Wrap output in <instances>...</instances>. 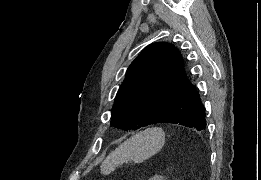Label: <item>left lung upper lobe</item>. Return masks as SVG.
Here are the masks:
<instances>
[{
	"instance_id": "1",
	"label": "left lung upper lobe",
	"mask_w": 261,
	"mask_h": 180,
	"mask_svg": "<svg viewBox=\"0 0 261 180\" xmlns=\"http://www.w3.org/2000/svg\"><path fill=\"white\" fill-rule=\"evenodd\" d=\"M187 82L182 56L173 45L147 46L127 69L111 111V124L123 130L152 124Z\"/></svg>"
}]
</instances>
